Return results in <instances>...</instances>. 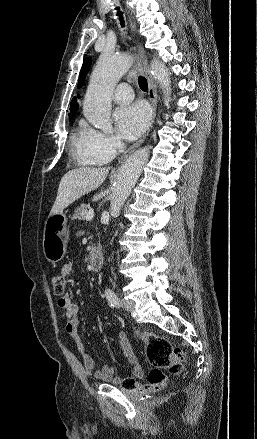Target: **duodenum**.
<instances>
[{
	"label": "duodenum",
	"mask_w": 257,
	"mask_h": 439,
	"mask_svg": "<svg viewBox=\"0 0 257 439\" xmlns=\"http://www.w3.org/2000/svg\"><path fill=\"white\" fill-rule=\"evenodd\" d=\"M104 263V255L101 246H95L90 254V266L92 271H99Z\"/></svg>",
	"instance_id": "duodenum-1"
}]
</instances>
